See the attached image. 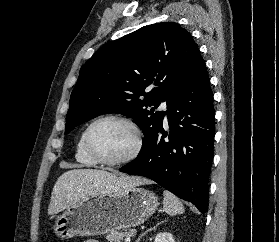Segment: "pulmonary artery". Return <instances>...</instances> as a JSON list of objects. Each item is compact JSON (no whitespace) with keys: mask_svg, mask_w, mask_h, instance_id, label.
Masks as SVG:
<instances>
[{"mask_svg":"<svg viewBox=\"0 0 279 242\" xmlns=\"http://www.w3.org/2000/svg\"><path fill=\"white\" fill-rule=\"evenodd\" d=\"M160 110H162L163 112H165V118H167V116H168V110H167V104H166V102L161 103V105H160Z\"/></svg>","mask_w":279,"mask_h":242,"instance_id":"1","label":"pulmonary artery"}]
</instances>
